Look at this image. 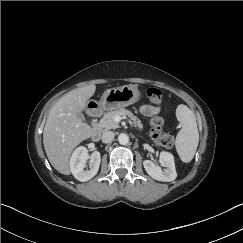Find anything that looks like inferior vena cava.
Returning <instances> with one entry per match:
<instances>
[{
  "label": "inferior vena cava",
  "mask_w": 243,
  "mask_h": 243,
  "mask_svg": "<svg viewBox=\"0 0 243 243\" xmlns=\"http://www.w3.org/2000/svg\"><path fill=\"white\" fill-rule=\"evenodd\" d=\"M114 136H115V134H114L113 131H105V132H103L102 137H101L102 142L103 143H110L114 139Z\"/></svg>",
  "instance_id": "obj_1"
}]
</instances>
